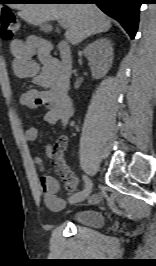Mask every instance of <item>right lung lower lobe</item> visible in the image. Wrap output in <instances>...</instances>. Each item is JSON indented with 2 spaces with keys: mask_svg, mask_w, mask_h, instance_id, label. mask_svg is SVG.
Returning a JSON list of instances; mask_svg holds the SVG:
<instances>
[{
  "mask_svg": "<svg viewBox=\"0 0 156 266\" xmlns=\"http://www.w3.org/2000/svg\"><path fill=\"white\" fill-rule=\"evenodd\" d=\"M57 4H96L104 13L116 19L133 39L137 32L139 10L143 0H46Z\"/></svg>",
  "mask_w": 156,
  "mask_h": 266,
  "instance_id": "obj_1",
  "label": "right lung lower lobe"
}]
</instances>
